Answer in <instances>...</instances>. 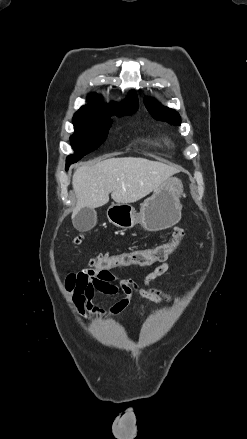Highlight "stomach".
Instances as JSON below:
<instances>
[{"label":"stomach","instance_id":"stomach-1","mask_svg":"<svg viewBox=\"0 0 247 439\" xmlns=\"http://www.w3.org/2000/svg\"><path fill=\"white\" fill-rule=\"evenodd\" d=\"M182 196L185 194L181 180L169 177L141 205L138 213L130 204H112L107 210V217L112 224L122 229L140 224L152 232L165 230L180 220Z\"/></svg>","mask_w":247,"mask_h":439}]
</instances>
